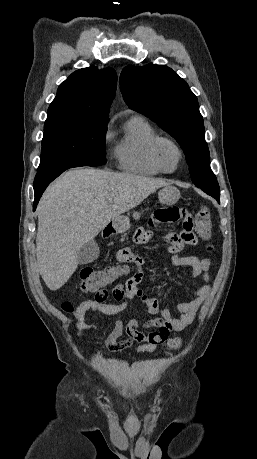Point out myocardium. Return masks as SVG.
<instances>
[{
    "label": "myocardium",
    "instance_id": "1",
    "mask_svg": "<svg viewBox=\"0 0 257 459\" xmlns=\"http://www.w3.org/2000/svg\"><path fill=\"white\" fill-rule=\"evenodd\" d=\"M163 142H168L170 143L171 145H173L175 147V149L177 150L178 152V161H177V164L176 166L173 168V169H167L160 157H159V146L161 143ZM150 156H151V159L153 161V163L164 173H174L175 171L178 170V168L180 167L183 159H184V151L182 149V147L179 145V143L174 140L173 138L171 137H168V136H161V135H158L151 143V146H150Z\"/></svg>",
    "mask_w": 257,
    "mask_h": 459
}]
</instances>
